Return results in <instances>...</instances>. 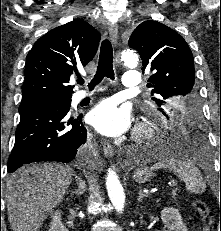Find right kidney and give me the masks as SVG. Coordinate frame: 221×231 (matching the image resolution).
I'll return each mask as SVG.
<instances>
[{"mask_svg": "<svg viewBox=\"0 0 221 231\" xmlns=\"http://www.w3.org/2000/svg\"><path fill=\"white\" fill-rule=\"evenodd\" d=\"M49 231H68L67 228L62 224L61 212L58 210L52 216Z\"/></svg>", "mask_w": 221, "mask_h": 231, "instance_id": "1", "label": "right kidney"}]
</instances>
